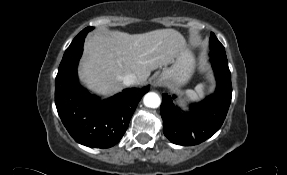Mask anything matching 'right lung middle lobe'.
<instances>
[{
	"label": "right lung middle lobe",
	"instance_id": "right-lung-middle-lobe-1",
	"mask_svg": "<svg viewBox=\"0 0 287 175\" xmlns=\"http://www.w3.org/2000/svg\"><path fill=\"white\" fill-rule=\"evenodd\" d=\"M91 29H92V27H87V28H85L83 31L87 33V32L90 31ZM74 40H75V38H74ZM74 40H73V41H74Z\"/></svg>",
	"mask_w": 287,
	"mask_h": 175
}]
</instances>
